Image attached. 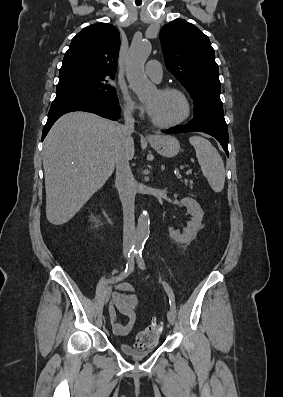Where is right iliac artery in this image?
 Listing matches in <instances>:
<instances>
[{"instance_id":"1","label":"right iliac artery","mask_w":283,"mask_h":397,"mask_svg":"<svg viewBox=\"0 0 283 397\" xmlns=\"http://www.w3.org/2000/svg\"><path fill=\"white\" fill-rule=\"evenodd\" d=\"M137 251L136 250H130L128 253V260L126 264V268L123 272H121L118 276L113 277L109 280H107L106 283H117L119 281H122L125 279L134 269V257L136 255Z\"/></svg>"}]
</instances>
